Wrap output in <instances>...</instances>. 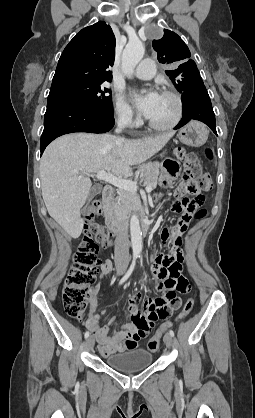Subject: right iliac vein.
<instances>
[{
	"label": "right iliac vein",
	"instance_id": "right-iliac-vein-1",
	"mask_svg": "<svg viewBox=\"0 0 255 418\" xmlns=\"http://www.w3.org/2000/svg\"><path fill=\"white\" fill-rule=\"evenodd\" d=\"M118 274L121 275L124 272V268L120 267L118 269ZM86 345L89 350H92L95 345V340L93 336H89L86 340Z\"/></svg>",
	"mask_w": 255,
	"mask_h": 418
}]
</instances>
